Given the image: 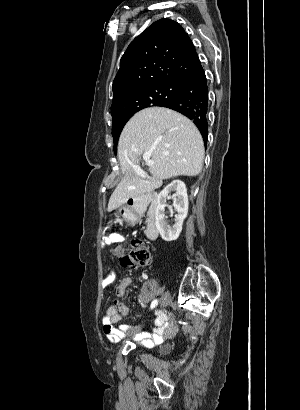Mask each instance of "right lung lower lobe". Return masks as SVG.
Returning a JSON list of instances; mask_svg holds the SVG:
<instances>
[{
	"mask_svg": "<svg viewBox=\"0 0 300 410\" xmlns=\"http://www.w3.org/2000/svg\"><path fill=\"white\" fill-rule=\"evenodd\" d=\"M161 106L178 111L191 119L201 132L204 143H207L208 85L202 66L188 78L170 101Z\"/></svg>",
	"mask_w": 300,
	"mask_h": 410,
	"instance_id": "98d812e1",
	"label": "right lung lower lobe"
}]
</instances>
